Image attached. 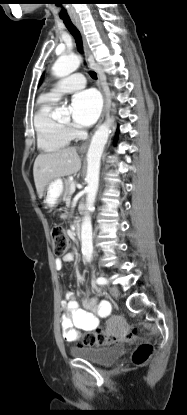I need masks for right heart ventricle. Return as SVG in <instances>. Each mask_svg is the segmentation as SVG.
<instances>
[{
  "mask_svg": "<svg viewBox=\"0 0 187 415\" xmlns=\"http://www.w3.org/2000/svg\"><path fill=\"white\" fill-rule=\"evenodd\" d=\"M54 101L47 95L43 96L34 115L37 144L45 152H54L66 147L72 138L69 129L51 116Z\"/></svg>",
  "mask_w": 187,
  "mask_h": 415,
  "instance_id": "1",
  "label": "right heart ventricle"
}]
</instances>
